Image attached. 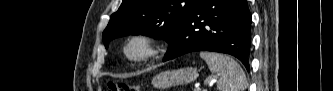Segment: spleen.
<instances>
[{
  "label": "spleen",
  "instance_id": "spleen-1",
  "mask_svg": "<svg viewBox=\"0 0 333 91\" xmlns=\"http://www.w3.org/2000/svg\"><path fill=\"white\" fill-rule=\"evenodd\" d=\"M211 73L218 77L219 91H245L247 79L241 66L231 57L214 52H200Z\"/></svg>",
  "mask_w": 333,
  "mask_h": 91
}]
</instances>
